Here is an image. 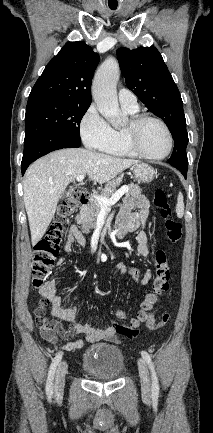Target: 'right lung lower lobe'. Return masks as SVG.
I'll list each match as a JSON object with an SVG mask.
<instances>
[{"label": "right lung lower lobe", "instance_id": "obj_1", "mask_svg": "<svg viewBox=\"0 0 213 433\" xmlns=\"http://www.w3.org/2000/svg\"><path fill=\"white\" fill-rule=\"evenodd\" d=\"M79 146V142L49 129L35 128L26 131L21 163L22 175L27 167L37 158L57 149L77 148Z\"/></svg>", "mask_w": 213, "mask_h": 433}]
</instances>
